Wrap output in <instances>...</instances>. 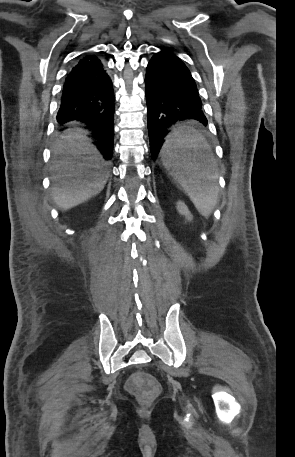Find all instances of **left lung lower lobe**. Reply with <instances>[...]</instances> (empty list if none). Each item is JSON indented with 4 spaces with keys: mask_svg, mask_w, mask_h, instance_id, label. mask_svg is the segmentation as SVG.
<instances>
[{
    "mask_svg": "<svg viewBox=\"0 0 295 457\" xmlns=\"http://www.w3.org/2000/svg\"><path fill=\"white\" fill-rule=\"evenodd\" d=\"M147 121L152 159H156L176 121L194 119L207 125L196 83L188 67L172 51L162 49L147 65ZM169 134V135H168ZM195 163H204L196 154Z\"/></svg>",
    "mask_w": 295,
    "mask_h": 457,
    "instance_id": "left-lung-lower-lobe-1",
    "label": "left lung lower lobe"
}]
</instances>
